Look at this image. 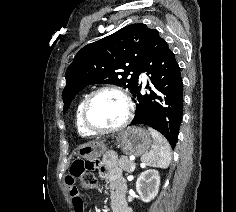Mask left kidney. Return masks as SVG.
<instances>
[{
	"mask_svg": "<svg viewBox=\"0 0 236 212\" xmlns=\"http://www.w3.org/2000/svg\"><path fill=\"white\" fill-rule=\"evenodd\" d=\"M159 186V172L154 169L142 172L136 181V190L143 202L153 200L158 194Z\"/></svg>",
	"mask_w": 236,
	"mask_h": 212,
	"instance_id": "5707ae66",
	"label": "left kidney"
}]
</instances>
